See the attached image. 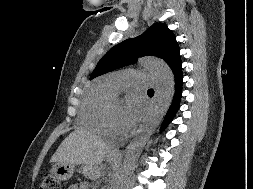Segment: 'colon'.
Returning a JSON list of instances; mask_svg holds the SVG:
<instances>
[{
	"label": "colon",
	"instance_id": "colon-1",
	"mask_svg": "<svg viewBox=\"0 0 253 189\" xmlns=\"http://www.w3.org/2000/svg\"><path fill=\"white\" fill-rule=\"evenodd\" d=\"M40 189H60V183L53 175L46 174L42 180Z\"/></svg>",
	"mask_w": 253,
	"mask_h": 189
}]
</instances>
